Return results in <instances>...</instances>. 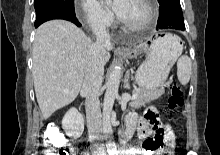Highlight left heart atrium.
<instances>
[{
  "mask_svg": "<svg viewBox=\"0 0 220 155\" xmlns=\"http://www.w3.org/2000/svg\"><path fill=\"white\" fill-rule=\"evenodd\" d=\"M130 3L131 0H114L111 3V7L120 19H124L129 9Z\"/></svg>",
  "mask_w": 220,
  "mask_h": 155,
  "instance_id": "obj_1",
  "label": "left heart atrium"
}]
</instances>
